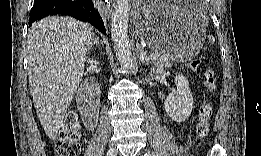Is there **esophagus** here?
Here are the masks:
<instances>
[{"mask_svg": "<svg viewBox=\"0 0 261 156\" xmlns=\"http://www.w3.org/2000/svg\"><path fill=\"white\" fill-rule=\"evenodd\" d=\"M114 6V4H113ZM113 11V8L110 6V4H107L106 8L104 10H102V14L104 15H108L111 14Z\"/></svg>", "mask_w": 261, "mask_h": 156, "instance_id": "1", "label": "esophagus"}]
</instances>
